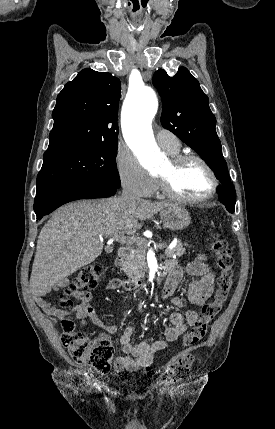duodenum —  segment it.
<instances>
[{
	"label": "duodenum",
	"mask_w": 275,
	"mask_h": 429,
	"mask_svg": "<svg viewBox=\"0 0 275 429\" xmlns=\"http://www.w3.org/2000/svg\"><path fill=\"white\" fill-rule=\"evenodd\" d=\"M129 253V249L126 247H121L118 250L116 256V266L118 268H122L125 265L129 257ZM121 285L126 291L134 292L144 289L148 284L146 281L141 279H129L121 281Z\"/></svg>",
	"instance_id": "obj_1"
}]
</instances>
